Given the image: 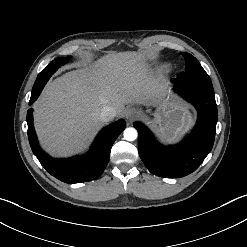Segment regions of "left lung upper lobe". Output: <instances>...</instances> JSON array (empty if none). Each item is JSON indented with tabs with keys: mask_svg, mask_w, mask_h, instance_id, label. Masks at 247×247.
I'll return each mask as SVG.
<instances>
[{
	"mask_svg": "<svg viewBox=\"0 0 247 247\" xmlns=\"http://www.w3.org/2000/svg\"><path fill=\"white\" fill-rule=\"evenodd\" d=\"M186 62V71L178 74L177 78L184 83L212 85L210 77L199 61L189 53H182Z\"/></svg>",
	"mask_w": 247,
	"mask_h": 247,
	"instance_id": "left-lung-upper-lobe-1",
	"label": "left lung upper lobe"
}]
</instances>
